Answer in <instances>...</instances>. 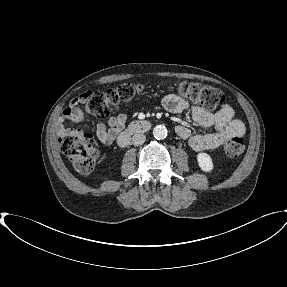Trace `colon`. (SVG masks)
I'll return each mask as SVG.
<instances>
[{"label": "colon", "mask_w": 287, "mask_h": 287, "mask_svg": "<svg viewBox=\"0 0 287 287\" xmlns=\"http://www.w3.org/2000/svg\"><path fill=\"white\" fill-rule=\"evenodd\" d=\"M145 92L140 83L123 84L117 88L92 93L85 103L91 115L103 118L111 109L129 104L137 95ZM181 98L207 109L221 107L226 102V95L218 88L199 83L184 82L177 89ZM61 152L69 158L75 169L82 174L90 173L98 158V149L92 135L81 130H70L59 138ZM225 155L237 159L244 151V142L239 136L229 138L223 147Z\"/></svg>", "instance_id": "1"}]
</instances>
